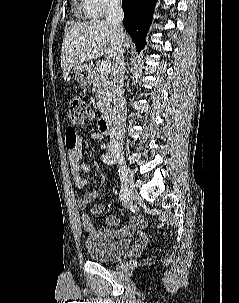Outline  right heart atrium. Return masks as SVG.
<instances>
[{"instance_id":"1","label":"right heart atrium","mask_w":239,"mask_h":303,"mask_svg":"<svg viewBox=\"0 0 239 303\" xmlns=\"http://www.w3.org/2000/svg\"><path fill=\"white\" fill-rule=\"evenodd\" d=\"M85 14L91 17H101L120 8L121 0H80Z\"/></svg>"}]
</instances>
